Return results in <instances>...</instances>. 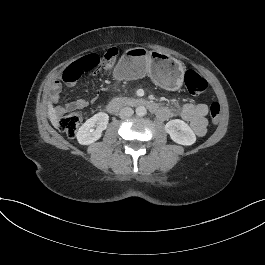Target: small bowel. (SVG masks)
Instances as JSON below:
<instances>
[{
	"label": "small bowel",
	"instance_id": "c3829d8e",
	"mask_svg": "<svg viewBox=\"0 0 265 265\" xmlns=\"http://www.w3.org/2000/svg\"><path fill=\"white\" fill-rule=\"evenodd\" d=\"M60 95V85L55 83L50 89V99L53 103H57ZM88 105L85 99H76L65 105H57L53 109L54 116H60L67 112L83 109ZM165 113L159 117L162 120H167L173 117H179L190 123L195 135L202 137L206 133L207 120L206 115L208 113V106L204 103H185L178 109H172L163 107Z\"/></svg>",
	"mask_w": 265,
	"mask_h": 265
}]
</instances>
